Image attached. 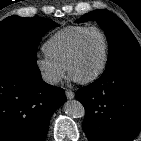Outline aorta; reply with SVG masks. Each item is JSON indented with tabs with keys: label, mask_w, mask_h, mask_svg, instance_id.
<instances>
[{
	"label": "aorta",
	"mask_w": 141,
	"mask_h": 141,
	"mask_svg": "<svg viewBox=\"0 0 141 141\" xmlns=\"http://www.w3.org/2000/svg\"><path fill=\"white\" fill-rule=\"evenodd\" d=\"M63 109L64 112L72 118H82L85 115L84 106L78 100L66 101Z\"/></svg>",
	"instance_id": "1"
}]
</instances>
